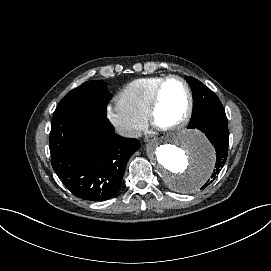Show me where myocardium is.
Segmentation results:
<instances>
[{
    "label": "myocardium",
    "mask_w": 271,
    "mask_h": 271,
    "mask_svg": "<svg viewBox=\"0 0 271 271\" xmlns=\"http://www.w3.org/2000/svg\"><path fill=\"white\" fill-rule=\"evenodd\" d=\"M171 80H179L182 82L187 90L188 94V105L184 114L176 121L169 125H160L158 122V113L161 107V96L164 87ZM195 98L191 85L182 76L177 74L167 75L162 81L156 86L151 97V106L149 109L148 117L153 127L161 131H173L184 127L191 119L194 112Z\"/></svg>",
    "instance_id": "f54148a6"
}]
</instances>
